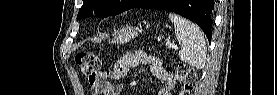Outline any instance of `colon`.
I'll return each instance as SVG.
<instances>
[{"instance_id":"obj_1","label":"colon","mask_w":277,"mask_h":95,"mask_svg":"<svg viewBox=\"0 0 277 95\" xmlns=\"http://www.w3.org/2000/svg\"><path fill=\"white\" fill-rule=\"evenodd\" d=\"M75 61L80 69L82 75L89 80H93L100 70L101 59L95 53H80L76 56ZM177 75L182 81V90L179 93L190 94L197 83V76L195 72L188 66L180 64L177 66Z\"/></svg>"}]
</instances>
